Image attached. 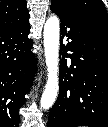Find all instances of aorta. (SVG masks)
Listing matches in <instances>:
<instances>
[{
	"instance_id": "1",
	"label": "aorta",
	"mask_w": 108,
	"mask_h": 127,
	"mask_svg": "<svg viewBox=\"0 0 108 127\" xmlns=\"http://www.w3.org/2000/svg\"><path fill=\"white\" fill-rule=\"evenodd\" d=\"M60 25L57 16H50L44 25V54L48 70V79L42 94L40 106L49 109L55 102L58 89Z\"/></svg>"
}]
</instances>
